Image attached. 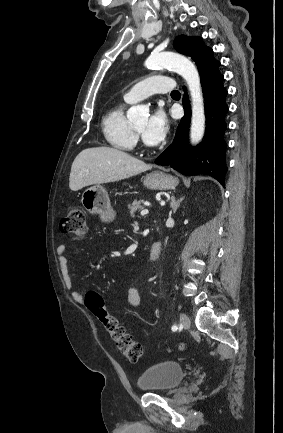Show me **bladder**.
I'll use <instances>...</instances> for the list:
<instances>
[{
  "label": "bladder",
  "instance_id": "bladder-1",
  "mask_svg": "<svg viewBox=\"0 0 283 433\" xmlns=\"http://www.w3.org/2000/svg\"><path fill=\"white\" fill-rule=\"evenodd\" d=\"M184 370L182 365L175 361L155 363L139 375L137 385L141 389L157 391L168 390L182 383Z\"/></svg>",
  "mask_w": 283,
  "mask_h": 433
}]
</instances>
